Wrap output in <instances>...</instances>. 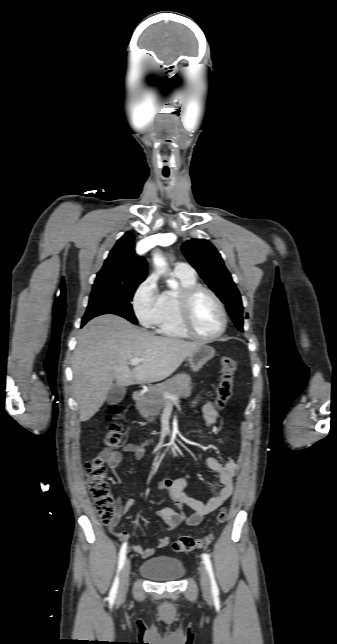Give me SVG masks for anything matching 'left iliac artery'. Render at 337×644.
I'll return each mask as SVG.
<instances>
[{"mask_svg":"<svg viewBox=\"0 0 337 644\" xmlns=\"http://www.w3.org/2000/svg\"><path fill=\"white\" fill-rule=\"evenodd\" d=\"M202 559H203V562H204V564H205V567H206V569H207V571H208V573H209L210 579H211V588H212V592H213L214 594H218L219 590H218L217 583H216V581H215V577H214V573H213V568H212V563H211V560H210V558H209L208 554L203 553V554H202Z\"/></svg>","mask_w":337,"mask_h":644,"instance_id":"obj_1","label":"left iliac artery"}]
</instances>
